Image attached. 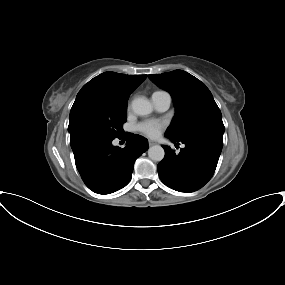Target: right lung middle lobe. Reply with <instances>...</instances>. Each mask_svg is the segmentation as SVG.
Returning <instances> with one entry per match:
<instances>
[{
    "label": "right lung middle lobe",
    "mask_w": 285,
    "mask_h": 285,
    "mask_svg": "<svg viewBox=\"0 0 285 285\" xmlns=\"http://www.w3.org/2000/svg\"><path fill=\"white\" fill-rule=\"evenodd\" d=\"M127 106L84 101L70 112V144L87 138L114 139L123 134Z\"/></svg>",
    "instance_id": "1"
}]
</instances>
